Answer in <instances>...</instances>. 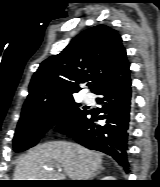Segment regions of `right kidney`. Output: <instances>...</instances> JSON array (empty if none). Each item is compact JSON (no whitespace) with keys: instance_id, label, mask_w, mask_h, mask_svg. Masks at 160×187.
<instances>
[{"instance_id":"obj_1","label":"right kidney","mask_w":160,"mask_h":187,"mask_svg":"<svg viewBox=\"0 0 160 187\" xmlns=\"http://www.w3.org/2000/svg\"><path fill=\"white\" fill-rule=\"evenodd\" d=\"M103 180H115V178H113L112 176H107V177L103 178Z\"/></svg>"}]
</instances>
